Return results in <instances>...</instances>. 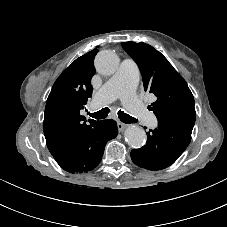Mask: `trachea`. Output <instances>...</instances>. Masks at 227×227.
I'll use <instances>...</instances> for the list:
<instances>
[{
  "mask_svg": "<svg viewBox=\"0 0 227 227\" xmlns=\"http://www.w3.org/2000/svg\"><path fill=\"white\" fill-rule=\"evenodd\" d=\"M109 112H110L109 108L106 107V108H103L102 110L94 112V113L88 112V115L95 119H105L108 116ZM118 117L122 122L127 123V124L137 122V120L134 117L127 115L126 113H124L123 111H120V110L118 111Z\"/></svg>",
  "mask_w": 227,
  "mask_h": 227,
  "instance_id": "3493384b",
  "label": "trachea"
}]
</instances>
